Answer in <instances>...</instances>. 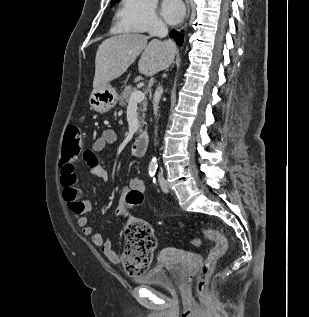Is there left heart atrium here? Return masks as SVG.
I'll return each instance as SVG.
<instances>
[{"instance_id":"1","label":"left heart atrium","mask_w":309,"mask_h":317,"mask_svg":"<svg viewBox=\"0 0 309 317\" xmlns=\"http://www.w3.org/2000/svg\"><path fill=\"white\" fill-rule=\"evenodd\" d=\"M161 13L168 23L176 24L182 20L185 7L182 0H163Z\"/></svg>"}]
</instances>
